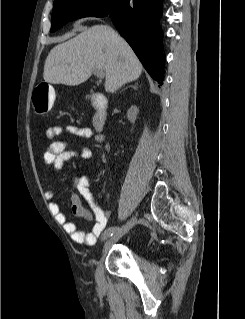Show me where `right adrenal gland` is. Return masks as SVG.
Returning a JSON list of instances; mask_svg holds the SVG:
<instances>
[{
  "label": "right adrenal gland",
  "instance_id": "2a0ac1e0",
  "mask_svg": "<svg viewBox=\"0 0 245 319\" xmlns=\"http://www.w3.org/2000/svg\"><path fill=\"white\" fill-rule=\"evenodd\" d=\"M130 87H132L134 90H137L138 84L136 83L135 85H132V86H130Z\"/></svg>",
  "mask_w": 245,
  "mask_h": 319
}]
</instances>
